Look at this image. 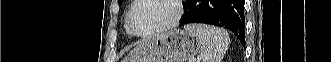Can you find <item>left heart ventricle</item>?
Masks as SVG:
<instances>
[{
  "label": "left heart ventricle",
  "mask_w": 331,
  "mask_h": 62,
  "mask_svg": "<svg viewBox=\"0 0 331 62\" xmlns=\"http://www.w3.org/2000/svg\"><path fill=\"white\" fill-rule=\"evenodd\" d=\"M175 15L170 0H143L135 8L132 21L136 31L146 33L168 23Z\"/></svg>",
  "instance_id": "left-heart-ventricle-1"
}]
</instances>
